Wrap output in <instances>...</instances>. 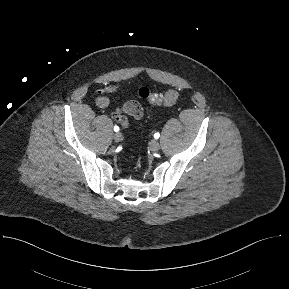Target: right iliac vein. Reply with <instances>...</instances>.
<instances>
[{"label": "right iliac vein", "mask_w": 289, "mask_h": 289, "mask_svg": "<svg viewBox=\"0 0 289 289\" xmlns=\"http://www.w3.org/2000/svg\"><path fill=\"white\" fill-rule=\"evenodd\" d=\"M113 138H114L115 142H120L122 140V134L120 132H116L113 135Z\"/></svg>", "instance_id": "1"}]
</instances>
